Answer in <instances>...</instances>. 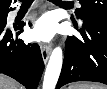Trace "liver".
I'll return each mask as SVG.
<instances>
[{"label": "liver", "instance_id": "1", "mask_svg": "<svg viewBox=\"0 0 107 89\" xmlns=\"http://www.w3.org/2000/svg\"><path fill=\"white\" fill-rule=\"evenodd\" d=\"M0 89H23L15 80L1 75L0 77Z\"/></svg>", "mask_w": 107, "mask_h": 89}]
</instances>
